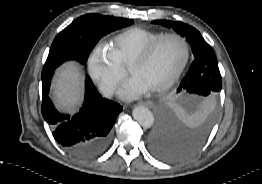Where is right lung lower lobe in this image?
<instances>
[{"mask_svg": "<svg viewBox=\"0 0 262 184\" xmlns=\"http://www.w3.org/2000/svg\"><path fill=\"white\" fill-rule=\"evenodd\" d=\"M54 71L42 73V115L52 134L72 155L92 158L101 154L111 140V128L122 107L102 98L91 79L86 77L85 100L81 110L70 117L57 111L49 97Z\"/></svg>", "mask_w": 262, "mask_h": 184, "instance_id": "98d812e1", "label": "right lung lower lobe"}]
</instances>
